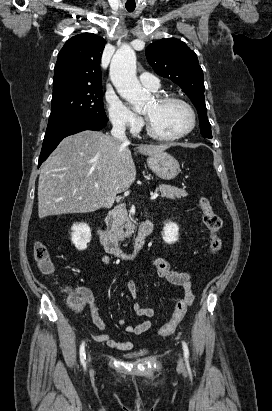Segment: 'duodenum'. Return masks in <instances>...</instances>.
<instances>
[{"instance_id": "410a0bca", "label": "duodenum", "mask_w": 272, "mask_h": 411, "mask_svg": "<svg viewBox=\"0 0 272 411\" xmlns=\"http://www.w3.org/2000/svg\"><path fill=\"white\" fill-rule=\"evenodd\" d=\"M153 224L151 221H145L139 228L133 248L130 252H124L120 249L118 240L108 231L97 225L95 227V235L105 250L114 255L124 259H133L145 246L146 238L153 232Z\"/></svg>"}]
</instances>
